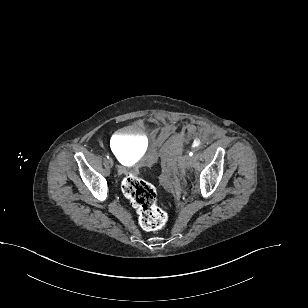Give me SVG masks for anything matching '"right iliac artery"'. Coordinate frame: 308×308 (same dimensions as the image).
I'll list each match as a JSON object with an SVG mask.
<instances>
[{"label":"right iliac artery","mask_w":308,"mask_h":308,"mask_svg":"<svg viewBox=\"0 0 308 308\" xmlns=\"http://www.w3.org/2000/svg\"><path fill=\"white\" fill-rule=\"evenodd\" d=\"M106 157L109 159V155H106Z\"/></svg>","instance_id":"82829eb1"}]
</instances>
